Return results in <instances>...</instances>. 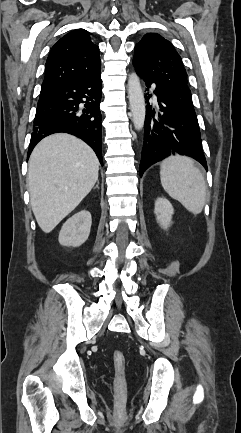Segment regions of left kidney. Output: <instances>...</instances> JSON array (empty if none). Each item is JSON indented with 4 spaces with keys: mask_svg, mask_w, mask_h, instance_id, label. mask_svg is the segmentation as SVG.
Returning <instances> with one entry per match:
<instances>
[{
    "mask_svg": "<svg viewBox=\"0 0 241 433\" xmlns=\"http://www.w3.org/2000/svg\"><path fill=\"white\" fill-rule=\"evenodd\" d=\"M154 212L157 222L166 230L172 223V215L174 214L172 204L165 198H157Z\"/></svg>",
    "mask_w": 241,
    "mask_h": 433,
    "instance_id": "1",
    "label": "left kidney"
}]
</instances>
